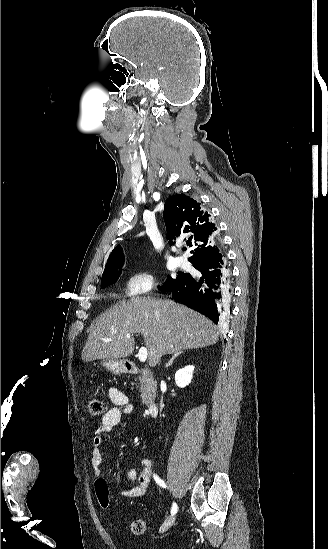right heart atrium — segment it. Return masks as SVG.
Returning a JSON list of instances; mask_svg holds the SVG:
<instances>
[{
  "mask_svg": "<svg viewBox=\"0 0 328 549\" xmlns=\"http://www.w3.org/2000/svg\"><path fill=\"white\" fill-rule=\"evenodd\" d=\"M151 240V237H148ZM155 287L153 265L141 264L130 268L123 277L122 294L124 303H141L144 296Z\"/></svg>",
  "mask_w": 328,
  "mask_h": 549,
  "instance_id": "right-heart-atrium-1",
  "label": "right heart atrium"
}]
</instances>
